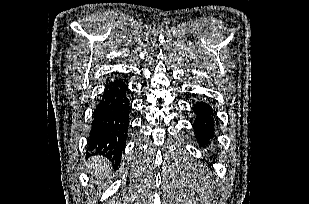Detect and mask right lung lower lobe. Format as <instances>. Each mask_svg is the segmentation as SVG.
Returning <instances> with one entry per match:
<instances>
[{
	"instance_id": "obj_1",
	"label": "right lung lower lobe",
	"mask_w": 309,
	"mask_h": 204,
	"mask_svg": "<svg viewBox=\"0 0 309 204\" xmlns=\"http://www.w3.org/2000/svg\"><path fill=\"white\" fill-rule=\"evenodd\" d=\"M128 86L115 78L106 87L93 113L88 140L89 155H103L119 165L129 128L130 101Z\"/></svg>"
}]
</instances>
